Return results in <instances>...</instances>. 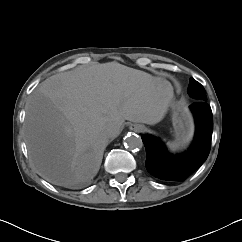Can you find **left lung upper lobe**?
I'll use <instances>...</instances> for the list:
<instances>
[{"mask_svg":"<svg viewBox=\"0 0 242 242\" xmlns=\"http://www.w3.org/2000/svg\"><path fill=\"white\" fill-rule=\"evenodd\" d=\"M188 94L198 101H207L206 93L203 86L193 78H190Z\"/></svg>","mask_w":242,"mask_h":242,"instance_id":"5c2ea615","label":"left lung upper lobe"}]
</instances>
